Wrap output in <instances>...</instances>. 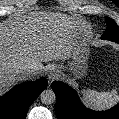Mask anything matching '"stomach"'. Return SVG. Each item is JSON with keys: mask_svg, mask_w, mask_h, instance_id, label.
Segmentation results:
<instances>
[{"mask_svg": "<svg viewBox=\"0 0 119 119\" xmlns=\"http://www.w3.org/2000/svg\"><path fill=\"white\" fill-rule=\"evenodd\" d=\"M89 50L78 36L74 38V46L71 54L72 61L69 63L67 71L72 72L74 76L80 78L86 71V60L88 58Z\"/></svg>", "mask_w": 119, "mask_h": 119, "instance_id": "stomach-1", "label": "stomach"}]
</instances>
